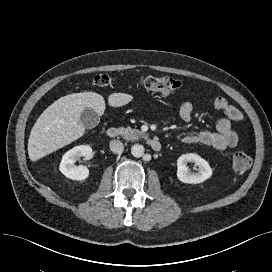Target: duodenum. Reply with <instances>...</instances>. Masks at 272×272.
Returning <instances> with one entry per match:
<instances>
[{"mask_svg": "<svg viewBox=\"0 0 272 272\" xmlns=\"http://www.w3.org/2000/svg\"><path fill=\"white\" fill-rule=\"evenodd\" d=\"M107 136L110 139H115L118 136L117 128L113 127V128L108 129ZM147 141H148V144H149V146L151 147L152 150L159 151L161 149V144H160V142L158 140L153 139V138H149Z\"/></svg>", "mask_w": 272, "mask_h": 272, "instance_id": "1", "label": "duodenum"}]
</instances>
